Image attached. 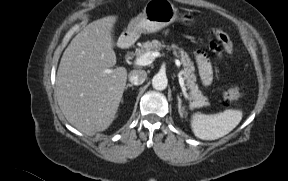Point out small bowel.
I'll list each match as a JSON object with an SVG mask.
<instances>
[{
  "label": "small bowel",
  "mask_w": 288,
  "mask_h": 181,
  "mask_svg": "<svg viewBox=\"0 0 288 181\" xmlns=\"http://www.w3.org/2000/svg\"><path fill=\"white\" fill-rule=\"evenodd\" d=\"M201 82L204 86H209L213 80V69L208 56L201 51L195 53Z\"/></svg>",
  "instance_id": "1"
}]
</instances>
